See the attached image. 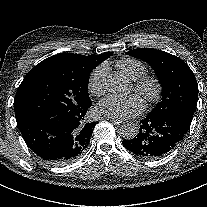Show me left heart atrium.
<instances>
[{
  "mask_svg": "<svg viewBox=\"0 0 207 207\" xmlns=\"http://www.w3.org/2000/svg\"><path fill=\"white\" fill-rule=\"evenodd\" d=\"M144 110L143 99L137 95L121 97L109 95L99 101L97 112L99 115L111 119H128L141 114Z\"/></svg>",
  "mask_w": 207,
  "mask_h": 207,
  "instance_id": "1",
  "label": "left heart atrium"
}]
</instances>
